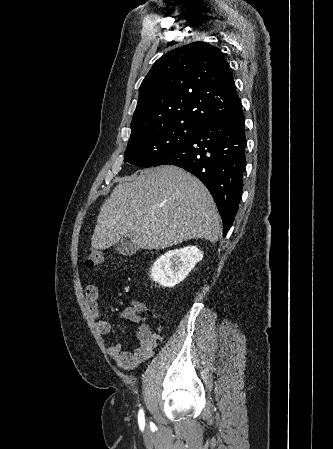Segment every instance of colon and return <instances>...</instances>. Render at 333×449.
I'll list each match as a JSON object with an SVG mask.
<instances>
[{
	"mask_svg": "<svg viewBox=\"0 0 333 449\" xmlns=\"http://www.w3.org/2000/svg\"><path fill=\"white\" fill-rule=\"evenodd\" d=\"M102 260H103V253L101 250L92 248L88 251L87 259H86V264L88 267H90V268L96 267L101 264ZM133 310L135 312L139 311L140 305L138 303H136L134 305Z\"/></svg>",
	"mask_w": 333,
	"mask_h": 449,
	"instance_id": "colon-1",
	"label": "colon"
}]
</instances>
